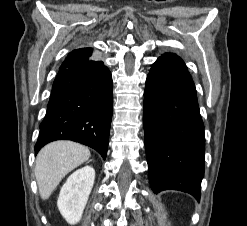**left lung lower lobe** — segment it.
I'll return each mask as SVG.
<instances>
[{"instance_id":"obj_1","label":"left lung lower lobe","mask_w":247,"mask_h":226,"mask_svg":"<svg viewBox=\"0 0 247 226\" xmlns=\"http://www.w3.org/2000/svg\"><path fill=\"white\" fill-rule=\"evenodd\" d=\"M143 116L152 190H179L199 201L204 175V125L194 82L177 55L166 53L152 65L146 80Z\"/></svg>"}]
</instances>
